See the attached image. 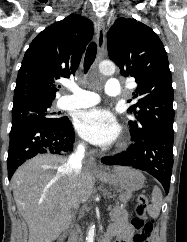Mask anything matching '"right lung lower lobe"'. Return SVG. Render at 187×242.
<instances>
[{
    "mask_svg": "<svg viewBox=\"0 0 187 242\" xmlns=\"http://www.w3.org/2000/svg\"><path fill=\"white\" fill-rule=\"evenodd\" d=\"M74 129L68 118L64 123L22 124L11 128L7 169L10 179L16 169L37 154L62 155L72 151Z\"/></svg>",
    "mask_w": 187,
    "mask_h": 242,
    "instance_id": "98d812e1",
    "label": "right lung lower lobe"
}]
</instances>
